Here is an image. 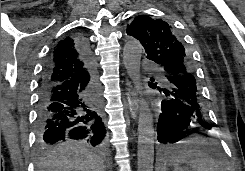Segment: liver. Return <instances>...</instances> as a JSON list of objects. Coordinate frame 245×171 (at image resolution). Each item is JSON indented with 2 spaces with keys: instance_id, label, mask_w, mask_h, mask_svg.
Returning a JSON list of instances; mask_svg holds the SVG:
<instances>
[{
  "instance_id": "obj_1",
  "label": "liver",
  "mask_w": 245,
  "mask_h": 171,
  "mask_svg": "<svg viewBox=\"0 0 245 171\" xmlns=\"http://www.w3.org/2000/svg\"><path fill=\"white\" fill-rule=\"evenodd\" d=\"M102 158L77 145L64 144L37 162V171H105Z\"/></svg>"
}]
</instances>
